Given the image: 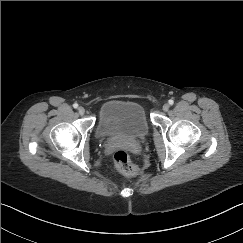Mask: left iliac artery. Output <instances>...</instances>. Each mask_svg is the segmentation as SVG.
Masks as SVG:
<instances>
[{"label": "left iliac artery", "mask_w": 243, "mask_h": 243, "mask_svg": "<svg viewBox=\"0 0 243 243\" xmlns=\"http://www.w3.org/2000/svg\"><path fill=\"white\" fill-rule=\"evenodd\" d=\"M168 103H169L170 105H173L174 101H173L172 99H170V100L168 101Z\"/></svg>", "instance_id": "44dca946"}]
</instances>
